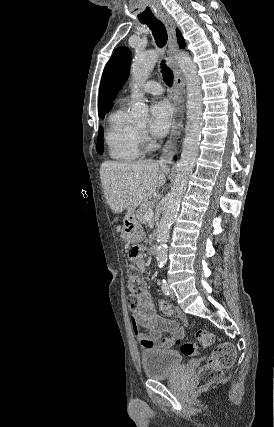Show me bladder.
<instances>
[{
	"label": "bladder",
	"instance_id": "1",
	"mask_svg": "<svg viewBox=\"0 0 274 427\" xmlns=\"http://www.w3.org/2000/svg\"><path fill=\"white\" fill-rule=\"evenodd\" d=\"M140 362L148 379H166L181 368V355L173 349H145L140 353Z\"/></svg>",
	"mask_w": 274,
	"mask_h": 427
}]
</instances>
